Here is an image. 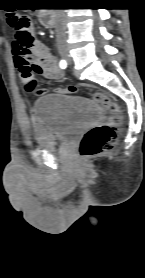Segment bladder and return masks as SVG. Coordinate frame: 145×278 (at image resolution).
Here are the masks:
<instances>
[{
  "label": "bladder",
  "mask_w": 145,
  "mask_h": 278,
  "mask_svg": "<svg viewBox=\"0 0 145 278\" xmlns=\"http://www.w3.org/2000/svg\"><path fill=\"white\" fill-rule=\"evenodd\" d=\"M33 115V144L55 150L95 123L100 109L93 99L52 93L37 99Z\"/></svg>",
  "instance_id": "obj_1"
}]
</instances>
